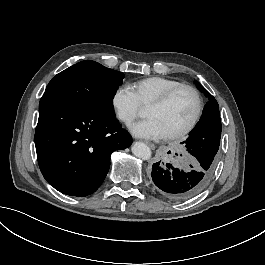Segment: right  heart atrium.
Wrapping results in <instances>:
<instances>
[{"label": "right heart atrium", "instance_id": "d8ad5b80", "mask_svg": "<svg viewBox=\"0 0 265 265\" xmlns=\"http://www.w3.org/2000/svg\"><path fill=\"white\" fill-rule=\"evenodd\" d=\"M134 92L126 84H121L111 96L110 109L114 118L121 124H132L143 116V107L136 104Z\"/></svg>", "mask_w": 265, "mask_h": 265}]
</instances>
